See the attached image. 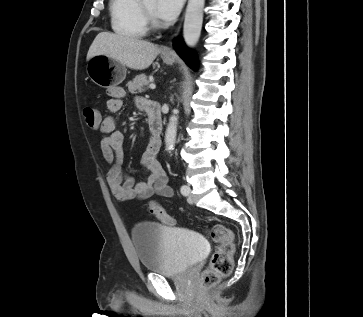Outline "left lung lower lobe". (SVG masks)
Wrapping results in <instances>:
<instances>
[{
  "label": "left lung lower lobe",
  "mask_w": 363,
  "mask_h": 317,
  "mask_svg": "<svg viewBox=\"0 0 363 317\" xmlns=\"http://www.w3.org/2000/svg\"><path fill=\"white\" fill-rule=\"evenodd\" d=\"M174 48L177 53L181 56V58L190 66L192 69L195 68V60L192 55V52L189 51L185 44L181 40H176L174 42Z\"/></svg>",
  "instance_id": "obj_1"
}]
</instances>
